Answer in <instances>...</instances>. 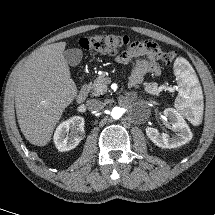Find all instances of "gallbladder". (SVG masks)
Wrapping results in <instances>:
<instances>
[{"mask_svg":"<svg viewBox=\"0 0 215 215\" xmlns=\"http://www.w3.org/2000/svg\"><path fill=\"white\" fill-rule=\"evenodd\" d=\"M63 55L69 65L77 66L81 62L83 53L79 48H71L65 50Z\"/></svg>","mask_w":215,"mask_h":215,"instance_id":"obj_1","label":"gallbladder"}]
</instances>
